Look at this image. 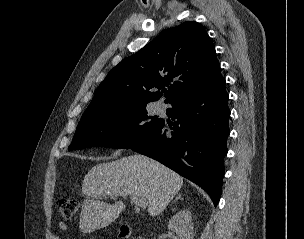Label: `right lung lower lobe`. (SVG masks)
<instances>
[{"label": "right lung lower lobe", "mask_w": 304, "mask_h": 239, "mask_svg": "<svg viewBox=\"0 0 304 239\" xmlns=\"http://www.w3.org/2000/svg\"><path fill=\"white\" fill-rule=\"evenodd\" d=\"M172 125L162 120L148 137L131 147L203 188L215 206L221 196L223 159L230 134L225 79L217 72L202 85L169 102ZM168 132V133H167Z\"/></svg>", "instance_id": "1"}]
</instances>
